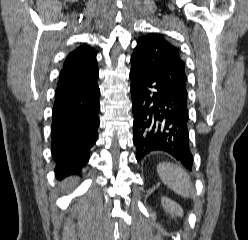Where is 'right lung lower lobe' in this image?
Wrapping results in <instances>:
<instances>
[{"instance_id": "right-lung-lower-lobe-1", "label": "right lung lower lobe", "mask_w": 248, "mask_h": 240, "mask_svg": "<svg viewBox=\"0 0 248 240\" xmlns=\"http://www.w3.org/2000/svg\"><path fill=\"white\" fill-rule=\"evenodd\" d=\"M98 77L97 68L56 88L51 151L58 178L80 172L90 158L99 127Z\"/></svg>"}]
</instances>
